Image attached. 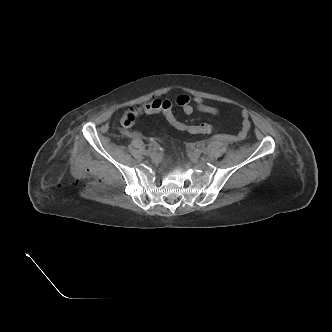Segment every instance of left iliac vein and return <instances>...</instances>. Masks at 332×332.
Wrapping results in <instances>:
<instances>
[{
    "instance_id": "1",
    "label": "left iliac vein",
    "mask_w": 332,
    "mask_h": 332,
    "mask_svg": "<svg viewBox=\"0 0 332 332\" xmlns=\"http://www.w3.org/2000/svg\"><path fill=\"white\" fill-rule=\"evenodd\" d=\"M188 155H189V158L194 162H196L200 159V155L197 154L195 151H189Z\"/></svg>"
}]
</instances>
